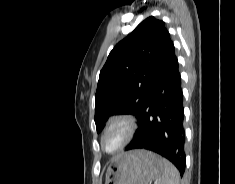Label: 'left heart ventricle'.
Segmentation results:
<instances>
[{"label": "left heart ventricle", "instance_id": "left-heart-ventricle-1", "mask_svg": "<svg viewBox=\"0 0 235 184\" xmlns=\"http://www.w3.org/2000/svg\"><path fill=\"white\" fill-rule=\"evenodd\" d=\"M124 128L121 125L110 129L103 137L102 147L107 153L115 152L121 144Z\"/></svg>", "mask_w": 235, "mask_h": 184}]
</instances>
